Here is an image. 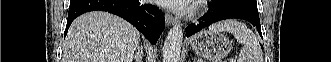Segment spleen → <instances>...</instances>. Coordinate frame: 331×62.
Masks as SVG:
<instances>
[{
  "mask_svg": "<svg viewBox=\"0 0 331 62\" xmlns=\"http://www.w3.org/2000/svg\"><path fill=\"white\" fill-rule=\"evenodd\" d=\"M214 32H229L233 34L237 42L243 44L238 62H263V54L260 44L254 33L245 24L236 20H225L209 27Z\"/></svg>",
  "mask_w": 331,
  "mask_h": 62,
  "instance_id": "3e777b00",
  "label": "spleen"
}]
</instances>
